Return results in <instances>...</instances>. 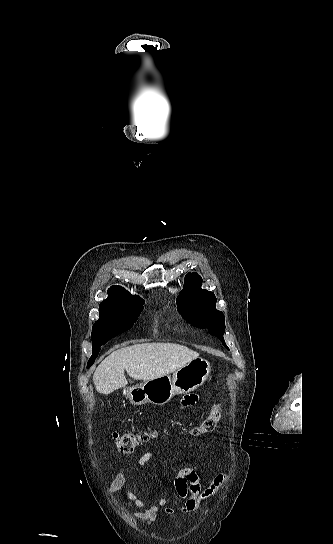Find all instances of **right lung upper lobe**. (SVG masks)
Returning a JSON list of instances; mask_svg holds the SVG:
<instances>
[{
	"instance_id": "right-lung-upper-lobe-1",
	"label": "right lung upper lobe",
	"mask_w": 333,
	"mask_h": 544,
	"mask_svg": "<svg viewBox=\"0 0 333 544\" xmlns=\"http://www.w3.org/2000/svg\"><path fill=\"white\" fill-rule=\"evenodd\" d=\"M136 297L138 296H131V294L121 286H112L108 290V298L105 299L102 303L129 300Z\"/></svg>"
}]
</instances>
